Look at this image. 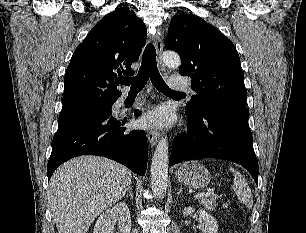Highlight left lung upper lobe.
I'll return each mask as SVG.
<instances>
[{"label": "left lung upper lobe", "mask_w": 306, "mask_h": 233, "mask_svg": "<svg viewBox=\"0 0 306 233\" xmlns=\"http://www.w3.org/2000/svg\"><path fill=\"white\" fill-rule=\"evenodd\" d=\"M165 42L182 60L179 73L190 76L197 93L187 103L186 114L229 106L247 110V90L240 58L233 43L199 16L176 14Z\"/></svg>", "instance_id": "obj_1"}]
</instances>
